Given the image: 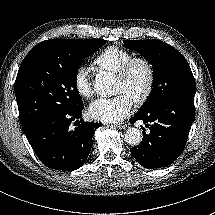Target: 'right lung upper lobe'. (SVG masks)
<instances>
[{
	"instance_id": "cb5924a9",
	"label": "right lung upper lobe",
	"mask_w": 215,
	"mask_h": 215,
	"mask_svg": "<svg viewBox=\"0 0 215 215\" xmlns=\"http://www.w3.org/2000/svg\"><path fill=\"white\" fill-rule=\"evenodd\" d=\"M46 42H48V40L47 41H44V42H41V43H39L38 45H36L30 52H29V54H31V53H33L34 51H36V50H38L43 44H45Z\"/></svg>"
}]
</instances>
